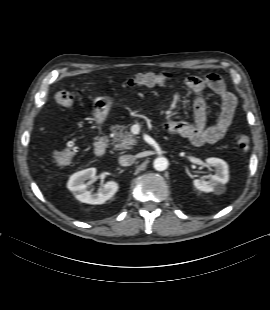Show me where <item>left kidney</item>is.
<instances>
[{"label":"left kidney","mask_w":270,"mask_h":310,"mask_svg":"<svg viewBox=\"0 0 270 310\" xmlns=\"http://www.w3.org/2000/svg\"><path fill=\"white\" fill-rule=\"evenodd\" d=\"M206 162L215 168V174L208 181L195 179L193 184L200 191L222 194L224 192V184L229 180L228 165L224 160L214 157L207 158Z\"/></svg>","instance_id":"obj_1"}]
</instances>
